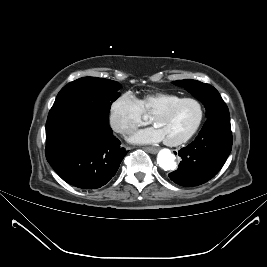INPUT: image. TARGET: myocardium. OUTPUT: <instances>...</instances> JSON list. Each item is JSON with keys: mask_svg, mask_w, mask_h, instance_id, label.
Returning a JSON list of instances; mask_svg holds the SVG:
<instances>
[{"mask_svg": "<svg viewBox=\"0 0 267 267\" xmlns=\"http://www.w3.org/2000/svg\"><path fill=\"white\" fill-rule=\"evenodd\" d=\"M185 102H193L194 104H196V106L198 107V118L194 124V126L191 128V130L184 135L183 137L176 139V140H164L165 144L168 146H179L182 145L184 143H186L187 141H189L195 134L196 132L199 130L203 119H204V106L203 104L196 98L193 97H183L180 98L174 102L169 103L168 105L156 110L151 117V120L153 123H155V120L157 117L167 114L169 112H171L174 108H176L178 105L185 103Z\"/></svg>", "mask_w": 267, "mask_h": 267, "instance_id": "f54148a6", "label": "myocardium"}]
</instances>
